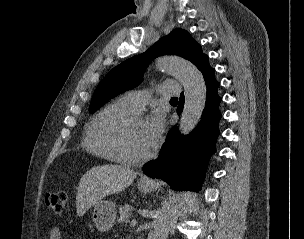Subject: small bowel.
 <instances>
[{
	"instance_id": "obj_1",
	"label": "small bowel",
	"mask_w": 304,
	"mask_h": 239,
	"mask_svg": "<svg viewBox=\"0 0 304 239\" xmlns=\"http://www.w3.org/2000/svg\"><path fill=\"white\" fill-rule=\"evenodd\" d=\"M49 239H62V230L58 227H54L49 232Z\"/></svg>"
}]
</instances>
